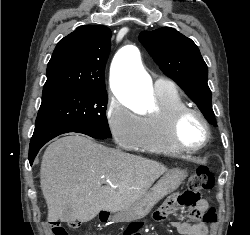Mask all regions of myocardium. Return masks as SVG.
I'll return each instance as SVG.
<instances>
[{
    "label": "myocardium",
    "instance_id": "myocardium-1",
    "mask_svg": "<svg viewBox=\"0 0 250 235\" xmlns=\"http://www.w3.org/2000/svg\"><path fill=\"white\" fill-rule=\"evenodd\" d=\"M189 115L197 116L203 124L205 136L203 141L198 146H187L180 139V125L182 121ZM169 136L173 145L183 152L194 153L202 150L209 143L211 138V128L208 119L205 115L194 107L183 106L175 110L169 120Z\"/></svg>",
    "mask_w": 250,
    "mask_h": 235
}]
</instances>
